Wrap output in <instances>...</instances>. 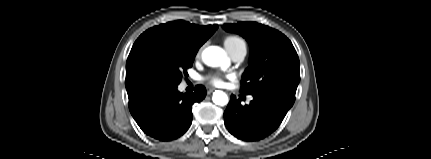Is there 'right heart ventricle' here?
I'll return each instance as SVG.
<instances>
[{"label": "right heart ventricle", "instance_id": "obj_1", "mask_svg": "<svg viewBox=\"0 0 431 159\" xmlns=\"http://www.w3.org/2000/svg\"><path fill=\"white\" fill-rule=\"evenodd\" d=\"M224 44H225V47L227 48V50L230 51L231 49H233L237 45L245 44V43L241 38H239L237 36H228L225 38Z\"/></svg>", "mask_w": 431, "mask_h": 159}]
</instances>
